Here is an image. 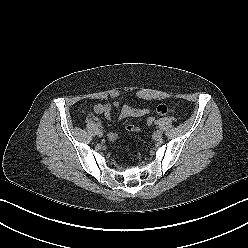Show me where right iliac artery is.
Wrapping results in <instances>:
<instances>
[{"label": "right iliac artery", "instance_id": "right-iliac-artery-1", "mask_svg": "<svg viewBox=\"0 0 248 248\" xmlns=\"http://www.w3.org/2000/svg\"><path fill=\"white\" fill-rule=\"evenodd\" d=\"M97 127H99V128H100V127H101V124H100V123H97Z\"/></svg>", "mask_w": 248, "mask_h": 248}]
</instances>
